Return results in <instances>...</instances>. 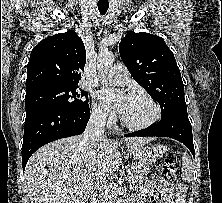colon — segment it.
<instances>
[{"instance_id": "1", "label": "colon", "mask_w": 222, "mask_h": 203, "mask_svg": "<svg viewBox=\"0 0 222 203\" xmlns=\"http://www.w3.org/2000/svg\"><path fill=\"white\" fill-rule=\"evenodd\" d=\"M177 161L174 156H168L164 161L163 174L166 179L172 183H177V170H176Z\"/></svg>"}]
</instances>
